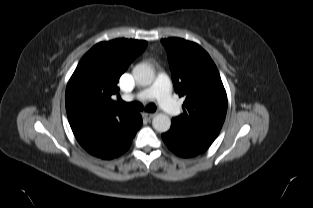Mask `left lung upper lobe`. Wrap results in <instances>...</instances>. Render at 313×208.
<instances>
[{
	"label": "left lung upper lobe",
	"instance_id": "5c2ea615",
	"mask_svg": "<svg viewBox=\"0 0 313 208\" xmlns=\"http://www.w3.org/2000/svg\"><path fill=\"white\" fill-rule=\"evenodd\" d=\"M174 89L185 97L184 112L172 124L190 134L216 138L227 112V95L220 74L198 44L181 38L162 39Z\"/></svg>",
	"mask_w": 313,
	"mask_h": 208
}]
</instances>
